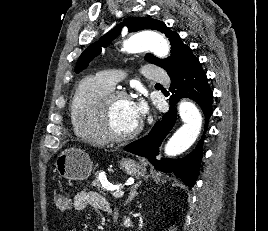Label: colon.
<instances>
[{
  "label": "colon",
  "instance_id": "1",
  "mask_svg": "<svg viewBox=\"0 0 268 231\" xmlns=\"http://www.w3.org/2000/svg\"><path fill=\"white\" fill-rule=\"evenodd\" d=\"M53 205L57 213H64L70 208V200L66 194L57 192L53 196Z\"/></svg>",
  "mask_w": 268,
  "mask_h": 231
}]
</instances>
